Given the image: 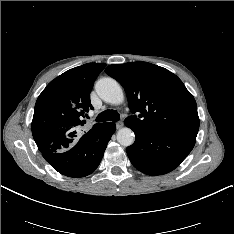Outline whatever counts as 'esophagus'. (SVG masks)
I'll use <instances>...</instances> for the list:
<instances>
[{"label":"esophagus","mask_w":234,"mask_h":234,"mask_svg":"<svg viewBox=\"0 0 234 234\" xmlns=\"http://www.w3.org/2000/svg\"><path fill=\"white\" fill-rule=\"evenodd\" d=\"M124 126V123L122 121H119L116 123V128L121 129Z\"/></svg>","instance_id":"34e87169"}]
</instances>
